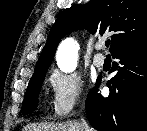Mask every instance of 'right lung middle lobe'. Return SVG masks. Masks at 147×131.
<instances>
[{
    "mask_svg": "<svg viewBox=\"0 0 147 131\" xmlns=\"http://www.w3.org/2000/svg\"><path fill=\"white\" fill-rule=\"evenodd\" d=\"M46 71L47 70L39 72L32 76L28 84L25 98L23 101V105L21 109L22 114H27L36 109L37 102H38V94H39L42 82L44 80Z\"/></svg>",
    "mask_w": 147,
    "mask_h": 131,
    "instance_id": "1",
    "label": "right lung middle lobe"
}]
</instances>
